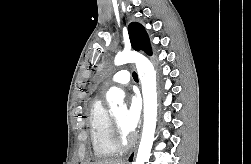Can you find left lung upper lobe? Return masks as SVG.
Segmentation results:
<instances>
[{"label": "left lung upper lobe", "instance_id": "1", "mask_svg": "<svg viewBox=\"0 0 251 164\" xmlns=\"http://www.w3.org/2000/svg\"><path fill=\"white\" fill-rule=\"evenodd\" d=\"M129 39L131 46L136 51H145L148 55L152 54L148 35L142 25L131 23L128 26Z\"/></svg>", "mask_w": 251, "mask_h": 164}]
</instances>
